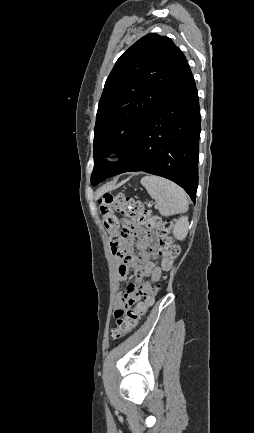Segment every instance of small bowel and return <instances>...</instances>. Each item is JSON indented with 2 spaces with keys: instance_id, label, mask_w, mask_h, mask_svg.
I'll return each instance as SVG.
<instances>
[{
  "instance_id": "obj_1",
  "label": "small bowel",
  "mask_w": 254,
  "mask_h": 433,
  "mask_svg": "<svg viewBox=\"0 0 254 433\" xmlns=\"http://www.w3.org/2000/svg\"><path fill=\"white\" fill-rule=\"evenodd\" d=\"M137 236L136 242H134ZM134 245L138 249V255L134 254ZM126 254L124 256H116L117 278L119 281H125L131 269L134 270V281L129 283L121 297L116 301V310L124 305L125 299L128 296L134 297L138 301L146 299H154L156 295L155 285L161 277V268L152 260L158 255V245L154 240V236L147 232L143 234L139 229L133 234H130L126 242ZM149 249V252L147 251ZM148 276V280H143V277Z\"/></svg>"
}]
</instances>
